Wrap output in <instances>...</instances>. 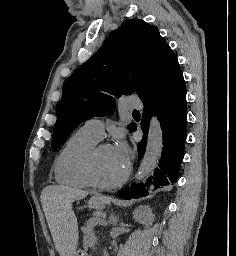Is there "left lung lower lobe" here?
Instances as JSON below:
<instances>
[{"mask_svg": "<svg viewBox=\"0 0 236 256\" xmlns=\"http://www.w3.org/2000/svg\"><path fill=\"white\" fill-rule=\"evenodd\" d=\"M142 102L144 113L140 129L143 131V138L138 143V158H141L145 150L149 119L153 115L158 116L161 125L162 155L159 167L155 169L146 183L133 184L118 194L123 199L144 197L163 186L175 183L184 155L187 102L185 81L181 69L179 68L171 74ZM135 130L136 126L133 131Z\"/></svg>", "mask_w": 236, "mask_h": 256, "instance_id": "1", "label": "left lung lower lobe"}]
</instances>
